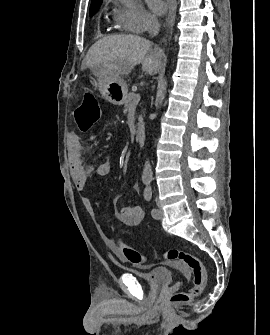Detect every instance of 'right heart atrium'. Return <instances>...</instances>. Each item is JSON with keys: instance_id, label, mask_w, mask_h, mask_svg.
Wrapping results in <instances>:
<instances>
[{"instance_id": "d8ad5b80", "label": "right heart atrium", "mask_w": 270, "mask_h": 335, "mask_svg": "<svg viewBox=\"0 0 270 335\" xmlns=\"http://www.w3.org/2000/svg\"><path fill=\"white\" fill-rule=\"evenodd\" d=\"M118 2L116 16L123 29L144 34V25H157L153 16L140 3L133 1L125 4L123 0Z\"/></svg>"}]
</instances>
